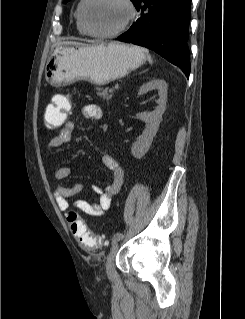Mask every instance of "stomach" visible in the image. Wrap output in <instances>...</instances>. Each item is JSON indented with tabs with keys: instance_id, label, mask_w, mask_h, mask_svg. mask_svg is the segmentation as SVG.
<instances>
[{
	"instance_id": "0dacf381",
	"label": "stomach",
	"mask_w": 245,
	"mask_h": 319,
	"mask_svg": "<svg viewBox=\"0 0 245 319\" xmlns=\"http://www.w3.org/2000/svg\"><path fill=\"white\" fill-rule=\"evenodd\" d=\"M146 50L118 42L94 45H61L49 55L46 81L60 87L79 80L104 85L124 77L146 62Z\"/></svg>"
}]
</instances>
